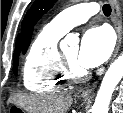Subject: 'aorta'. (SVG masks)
<instances>
[{"instance_id": "obj_1", "label": "aorta", "mask_w": 123, "mask_h": 113, "mask_svg": "<svg viewBox=\"0 0 123 113\" xmlns=\"http://www.w3.org/2000/svg\"><path fill=\"white\" fill-rule=\"evenodd\" d=\"M79 38L75 34H68L61 42V49L69 44H77ZM123 77V53L110 65L105 73L98 90L92 113H108L109 104L115 87Z\"/></svg>"}]
</instances>
